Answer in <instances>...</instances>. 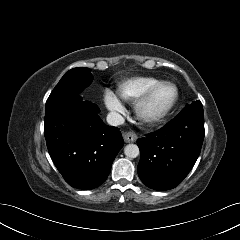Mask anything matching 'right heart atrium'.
Listing matches in <instances>:
<instances>
[{"instance_id":"d8ad5b80","label":"right heart atrium","mask_w":240,"mask_h":240,"mask_svg":"<svg viewBox=\"0 0 240 240\" xmlns=\"http://www.w3.org/2000/svg\"><path fill=\"white\" fill-rule=\"evenodd\" d=\"M104 103L109 111L114 114H121L125 111V107L120 98L110 90L105 91Z\"/></svg>"}]
</instances>
